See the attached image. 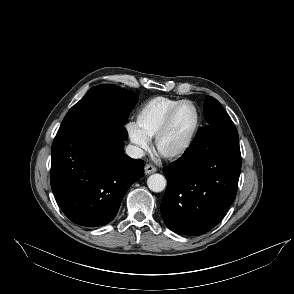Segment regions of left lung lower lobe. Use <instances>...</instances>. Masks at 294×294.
<instances>
[{
    "label": "left lung lower lobe",
    "instance_id": "0a47b994",
    "mask_svg": "<svg viewBox=\"0 0 294 294\" xmlns=\"http://www.w3.org/2000/svg\"><path fill=\"white\" fill-rule=\"evenodd\" d=\"M240 171L234 124L201 128L182 157L163 168L167 189L161 215L166 226L191 236L210 231L235 200Z\"/></svg>",
    "mask_w": 294,
    "mask_h": 294
}]
</instances>
